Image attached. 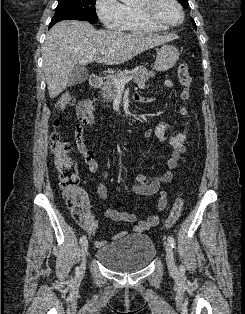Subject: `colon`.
Wrapping results in <instances>:
<instances>
[{
  "mask_svg": "<svg viewBox=\"0 0 245 314\" xmlns=\"http://www.w3.org/2000/svg\"><path fill=\"white\" fill-rule=\"evenodd\" d=\"M189 65L186 62L180 64L178 68V79L183 87L181 97L186 100L188 97V89L191 84V76ZM75 105V97L69 91L63 92L57 99L56 108L59 111ZM182 114L188 115L187 110L182 108ZM60 125L59 120L56 121V126ZM51 151L54 159V167L57 172L60 186L64 192L68 207L73 218L83 227L88 228L89 221L84 210L83 194L78 188L77 166L69 157L71 150L70 144L63 139L58 131L51 135ZM183 199L177 198L168 219L164 223V228H170L179 219L183 208Z\"/></svg>",
  "mask_w": 245,
  "mask_h": 314,
  "instance_id": "1",
  "label": "colon"
}]
</instances>
